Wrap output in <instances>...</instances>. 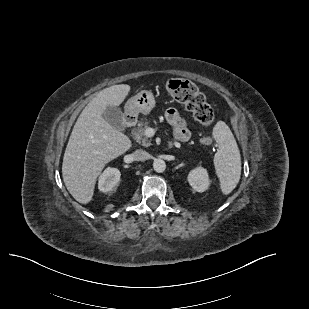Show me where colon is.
<instances>
[{
    "label": "colon",
    "instance_id": "1",
    "mask_svg": "<svg viewBox=\"0 0 309 309\" xmlns=\"http://www.w3.org/2000/svg\"><path fill=\"white\" fill-rule=\"evenodd\" d=\"M167 91L179 103L190 111L195 119L202 125L208 126L214 120V112L205 101L203 94L190 81L184 79H171L167 82ZM203 145H210L212 139L208 136L201 138Z\"/></svg>",
    "mask_w": 309,
    "mask_h": 309
}]
</instances>
